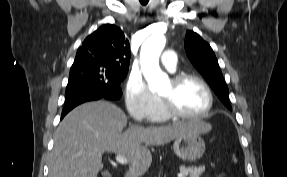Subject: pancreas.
Segmentation results:
<instances>
[{
    "label": "pancreas",
    "instance_id": "cf45deb5",
    "mask_svg": "<svg viewBox=\"0 0 287 177\" xmlns=\"http://www.w3.org/2000/svg\"><path fill=\"white\" fill-rule=\"evenodd\" d=\"M180 173H182L184 176H189V177H199L205 170L204 166L200 167H185V166H180L179 168Z\"/></svg>",
    "mask_w": 287,
    "mask_h": 177
}]
</instances>
